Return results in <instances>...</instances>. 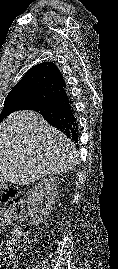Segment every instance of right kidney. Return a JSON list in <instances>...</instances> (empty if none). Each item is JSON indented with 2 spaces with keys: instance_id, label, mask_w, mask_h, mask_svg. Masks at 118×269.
I'll return each instance as SVG.
<instances>
[{
  "instance_id": "ca27d5eb",
  "label": "right kidney",
  "mask_w": 118,
  "mask_h": 269,
  "mask_svg": "<svg viewBox=\"0 0 118 269\" xmlns=\"http://www.w3.org/2000/svg\"><path fill=\"white\" fill-rule=\"evenodd\" d=\"M59 184L56 177H50L42 180L30 190L28 212L33 224H40L46 220L50 208L55 203Z\"/></svg>"
}]
</instances>
